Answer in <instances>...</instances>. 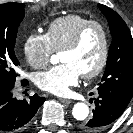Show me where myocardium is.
Returning a JSON list of instances; mask_svg holds the SVG:
<instances>
[{
  "label": "myocardium",
  "mask_w": 133,
  "mask_h": 133,
  "mask_svg": "<svg viewBox=\"0 0 133 133\" xmlns=\"http://www.w3.org/2000/svg\"><path fill=\"white\" fill-rule=\"evenodd\" d=\"M92 27H97L101 31L103 36V46L101 57L97 66L93 70L81 74V76L85 79H92L97 77L107 65L110 53V35L107 27L100 21L89 20L79 28V30L76 32L74 37L69 41V43L61 49V51H72L78 48L86 32Z\"/></svg>",
  "instance_id": "myocardium-1"
}]
</instances>
